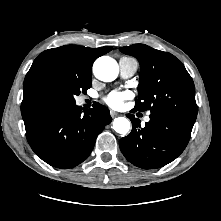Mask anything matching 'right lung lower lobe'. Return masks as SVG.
<instances>
[{
	"label": "right lung lower lobe",
	"instance_id": "98d812e1",
	"mask_svg": "<svg viewBox=\"0 0 221 221\" xmlns=\"http://www.w3.org/2000/svg\"><path fill=\"white\" fill-rule=\"evenodd\" d=\"M22 117L32 150L49 165L61 169L83 162L97 135L112 120L109 110L99 103L84 112L75 103H45Z\"/></svg>",
	"mask_w": 221,
	"mask_h": 221
}]
</instances>
